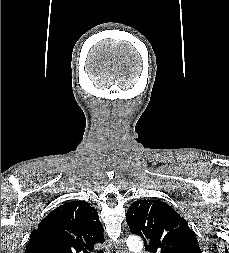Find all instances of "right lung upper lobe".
Wrapping results in <instances>:
<instances>
[{
	"label": "right lung upper lobe",
	"instance_id": "right-lung-upper-lobe-1",
	"mask_svg": "<svg viewBox=\"0 0 229 253\" xmlns=\"http://www.w3.org/2000/svg\"><path fill=\"white\" fill-rule=\"evenodd\" d=\"M103 226L94 207L72 201L50 212L33 230L24 253H90L103 243Z\"/></svg>",
	"mask_w": 229,
	"mask_h": 253
}]
</instances>
